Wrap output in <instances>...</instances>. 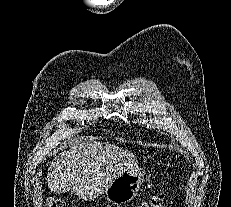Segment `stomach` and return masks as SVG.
<instances>
[{
    "label": "stomach",
    "instance_id": "0dacf381",
    "mask_svg": "<svg viewBox=\"0 0 231 207\" xmlns=\"http://www.w3.org/2000/svg\"><path fill=\"white\" fill-rule=\"evenodd\" d=\"M144 174L138 170H126L117 177L105 189L106 199L109 203L120 207L126 205L137 195L142 183Z\"/></svg>",
    "mask_w": 231,
    "mask_h": 207
}]
</instances>
